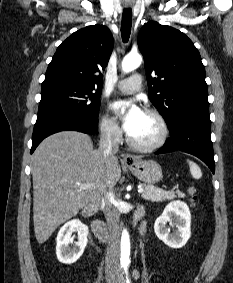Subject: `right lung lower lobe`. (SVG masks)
I'll list each match as a JSON object with an SVG mask.
<instances>
[{
  "label": "right lung lower lobe",
  "instance_id": "right-lung-lower-lobe-1",
  "mask_svg": "<svg viewBox=\"0 0 233 283\" xmlns=\"http://www.w3.org/2000/svg\"><path fill=\"white\" fill-rule=\"evenodd\" d=\"M97 127V117L90 118L55 110L38 114L32 136L31 153L34 152L44 138L56 132L73 130L86 134H95Z\"/></svg>",
  "mask_w": 233,
  "mask_h": 283
}]
</instances>
